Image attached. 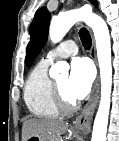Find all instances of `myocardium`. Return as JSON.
<instances>
[{
  "mask_svg": "<svg viewBox=\"0 0 119 141\" xmlns=\"http://www.w3.org/2000/svg\"><path fill=\"white\" fill-rule=\"evenodd\" d=\"M51 93L53 103L60 113L69 114L77 109L78 105L75 101L68 102L64 99L55 81L52 82Z\"/></svg>",
  "mask_w": 119,
  "mask_h": 141,
  "instance_id": "1",
  "label": "myocardium"
}]
</instances>
